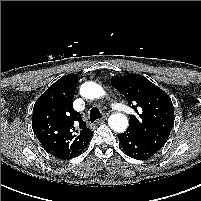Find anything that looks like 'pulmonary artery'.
<instances>
[{
	"label": "pulmonary artery",
	"instance_id": "1",
	"mask_svg": "<svg viewBox=\"0 0 201 201\" xmlns=\"http://www.w3.org/2000/svg\"><path fill=\"white\" fill-rule=\"evenodd\" d=\"M112 108L118 112L129 114L131 112L130 108L121 101L114 100L112 103Z\"/></svg>",
	"mask_w": 201,
	"mask_h": 201
}]
</instances>
